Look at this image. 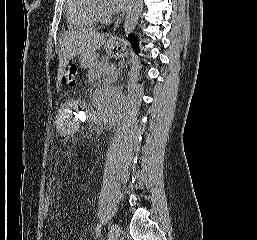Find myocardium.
Instances as JSON below:
<instances>
[{
    "instance_id": "myocardium-1",
    "label": "myocardium",
    "mask_w": 257,
    "mask_h": 240,
    "mask_svg": "<svg viewBox=\"0 0 257 240\" xmlns=\"http://www.w3.org/2000/svg\"><path fill=\"white\" fill-rule=\"evenodd\" d=\"M96 1H98V4H103V0H96Z\"/></svg>"
}]
</instances>
